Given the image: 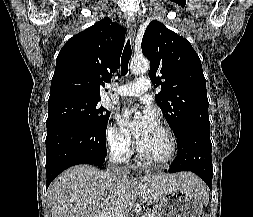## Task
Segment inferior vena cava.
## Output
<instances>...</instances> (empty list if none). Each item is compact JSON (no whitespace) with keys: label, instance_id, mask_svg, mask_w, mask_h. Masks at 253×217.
Listing matches in <instances>:
<instances>
[{"label":"inferior vena cava","instance_id":"inferior-vena-cava-1","mask_svg":"<svg viewBox=\"0 0 253 217\" xmlns=\"http://www.w3.org/2000/svg\"><path fill=\"white\" fill-rule=\"evenodd\" d=\"M107 172L113 177L123 176L127 177L129 174V169L127 167L119 166L118 155L115 152L109 154Z\"/></svg>","mask_w":253,"mask_h":217}]
</instances>
